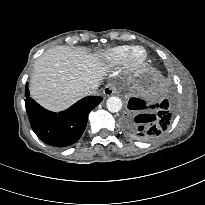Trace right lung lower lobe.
Returning <instances> with one entry per match:
<instances>
[{"instance_id": "1", "label": "right lung lower lobe", "mask_w": 205, "mask_h": 205, "mask_svg": "<svg viewBox=\"0 0 205 205\" xmlns=\"http://www.w3.org/2000/svg\"><path fill=\"white\" fill-rule=\"evenodd\" d=\"M25 106L32 129L46 144L65 147L77 142L83 134L88 114L101 101L102 97H85L63 112H50L29 97L25 88Z\"/></svg>"}]
</instances>
